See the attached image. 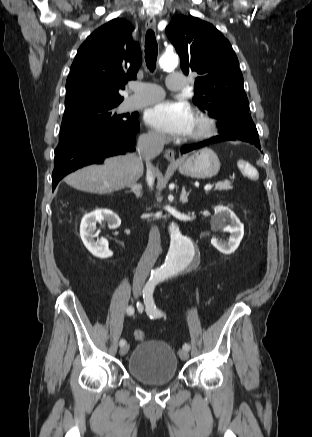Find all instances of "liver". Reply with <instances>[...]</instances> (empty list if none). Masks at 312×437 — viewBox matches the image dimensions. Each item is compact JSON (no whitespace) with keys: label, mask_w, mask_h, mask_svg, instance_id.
Segmentation results:
<instances>
[{"label":"liver","mask_w":312,"mask_h":437,"mask_svg":"<svg viewBox=\"0 0 312 437\" xmlns=\"http://www.w3.org/2000/svg\"><path fill=\"white\" fill-rule=\"evenodd\" d=\"M143 172L142 157L126 154L107 158L101 165L83 167L68 175L64 181L83 192L108 194L131 187Z\"/></svg>","instance_id":"1"}]
</instances>
